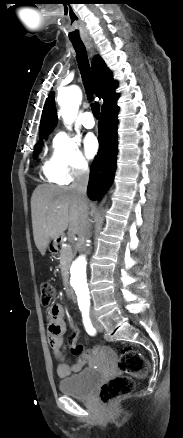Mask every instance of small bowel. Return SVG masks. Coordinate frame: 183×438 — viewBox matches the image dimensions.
I'll list each match as a JSON object with an SVG mask.
<instances>
[{
    "label": "small bowel",
    "instance_id": "c3829d8e",
    "mask_svg": "<svg viewBox=\"0 0 183 438\" xmlns=\"http://www.w3.org/2000/svg\"><path fill=\"white\" fill-rule=\"evenodd\" d=\"M64 309L59 304H54L47 310V334L48 341L52 350L53 356L58 360L56 372L59 377L64 378L72 373L80 371L97 353L99 346L91 349H84L76 343V330L73 329L70 335L69 345L73 355L78 358L75 363L68 364L62 352L65 331Z\"/></svg>",
    "mask_w": 183,
    "mask_h": 438
}]
</instances>
